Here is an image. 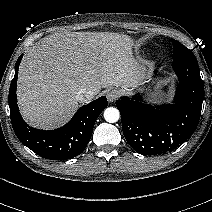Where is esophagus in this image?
Here are the masks:
<instances>
[{
  "label": "esophagus",
  "instance_id": "esophagus-1",
  "mask_svg": "<svg viewBox=\"0 0 212 212\" xmlns=\"http://www.w3.org/2000/svg\"><path fill=\"white\" fill-rule=\"evenodd\" d=\"M109 102H113L118 98V92L116 90H110L106 94Z\"/></svg>",
  "mask_w": 212,
  "mask_h": 212
}]
</instances>
